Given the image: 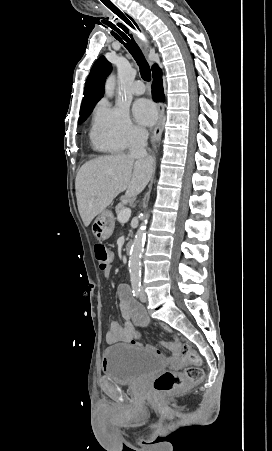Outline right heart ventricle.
Returning <instances> with one entry per match:
<instances>
[{"mask_svg":"<svg viewBox=\"0 0 272 451\" xmlns=\"http://www.w3.org/2000/svg\"><path fill=\"white\" fill-rule=\"evenodd\" d=\"M93 144L104 151H112L114 150L116 147H114L113 145L107 144V143H102L100 141H98L95 137L92 138Z\"/></svg>","mask_w":272,"mask_h":451,"instance_id":"obj_1","label":"right heart ventricle"}]
</instances>
